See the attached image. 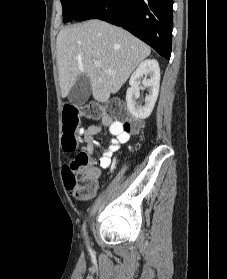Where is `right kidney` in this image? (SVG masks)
<instances>
[{"label": "right kidney", "instance_id": "ca27d5eb", "mask_svg": "<svg viewBox=\"0 0 227 279\" xmlns=\"http://www.w3.org/2000/svg\"><path fill=\"white\" fill-rule=\"evenodd\" d=\"M149 75V79L146 76ZM145 78L141 81V78ZM130 88L126 92V102L129 112L132 116L139 119L148 118L155 106L160 86V68L158 61L147 59L141 62L129 80ZM149 88V94L145 97V104L136 103L139 98L140 85Z\"/></svg>", "mask_w": 227, "mask_h": 279}]
</instances>
